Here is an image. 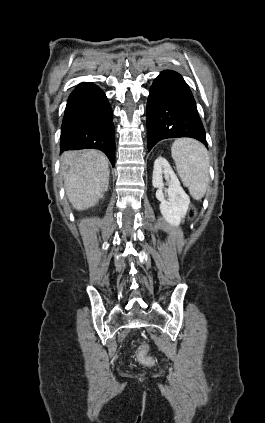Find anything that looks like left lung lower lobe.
<instances>
[{
  "label": "left lung lower lobe",
  "mask_w": 265,
  "mask_h": 423,
  "mask_svg": "<svg viewBox=\"0 0 265 423\" xmlns=\"http://www.w3.org/2000/svg\"><path fill=\"white\" fill-rule=\"evenodd\" d=\"M148 151L162 139L191 137L207 146L205 130L189 86L165 70L154 80L147 103Z\"/></svg>",
  "instance_id": "left-lung-lower-lobe-1"
}]
</instances>
